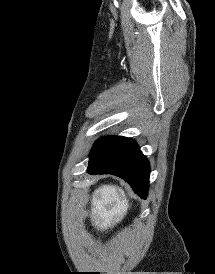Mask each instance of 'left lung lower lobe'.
<instances>
[{"mask_svg": "<svg viewBox=\"0 0 215 274\" xmlns=\"http://www.w3.org/2000/svg\"><path fill=\"white\" fill-rule=\"evenodd\" d=\"M87 172L92 175H117L127 181L140 197H147L149 162L132 139L122 136L108 137L91 152Z\"/></svg>", "mask_w": 215, "mask_h": 274, "instance_id": "left-lung-lower-lobe-1", "label": "left lung lower lobe"}]
</instances>
